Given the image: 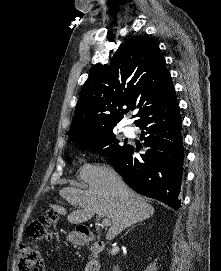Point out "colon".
I'll return each instance as SVG.
<instances>
[{"mask_svg": "<svg viewBox=\"0 0 221 271\" xmlns=\"http://www.w3.org/2000/svg\"><path fill=\"white\" fill-rule=\"evenodd\" d=\"M57 221L56 212L49 210L37 217L29 227V234L35 240H46L50 234L49 224ZM19 271H45L44 262L38 249L27 243H22L18 249Z\"/></svg>", "mask_w": 221, "mask_h": 271, "instance_id": "obj_1", "label": "colon"}]
</instances>
